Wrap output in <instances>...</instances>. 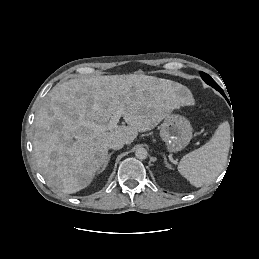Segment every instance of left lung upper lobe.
<instances>
[{"label":"left lung upper lobe","instance_id":"5c2ea615","mask_svg":"<svg viewBox=\"0 0 259 259\" xmlns=\"http://www.w3.org/2000/svg\"><path fill=\"white\" fill-rule=\"evenodd\" d=\"M200 75L202 77V79L210 86H212L213 88H215L216 90H218L220 92L221 87L206 73L204 72H200Z\"/></svg>","mask_w":259,"mask_h":259}]
</instances>
